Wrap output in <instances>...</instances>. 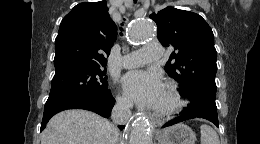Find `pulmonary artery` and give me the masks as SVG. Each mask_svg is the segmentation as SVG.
Returning <instances> with one entry per match:
<instances>
[{"label":"pulmonary artery","mask_w":260,"mask_h":144,"mask_svg":"<svg viewBox=\"0 0 260 144\" xmlns=\"http://www.w3.org/2000/svg\"><path fill=\"white\" fill-rule=\"evenodd\" d=\"M163 48L158 43H149L141 50L131 52L122 58L125 68H135L146 63L155 62L163 55Z\"/></svg>","instance_id":"1"}]
</instances>
